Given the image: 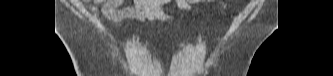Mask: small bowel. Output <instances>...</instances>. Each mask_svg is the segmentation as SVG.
Listing matches in <instances>:
<instances>
[{
	"instance_id": "c3829d8e",
	"label": "small bowel",
	"mask_w": 333,
	"mask_h": 76,
	"mask_svg": "<svg viewBox=\"0 0 333 76\" xmlns=\"http://www.w3.org/2000/svg\"><path fill=\"white\" fill-rule=\"evenodd\" d=\"M194 0H135L126 5L122 0H95L90 9L94 14H100L107 20L120 23L129 18L143 20L168 21L174 17L164 11L167 5H175L178 8L191 11ZM95 5H101L98 9Z\"/></svg>"
}]
</instances>
